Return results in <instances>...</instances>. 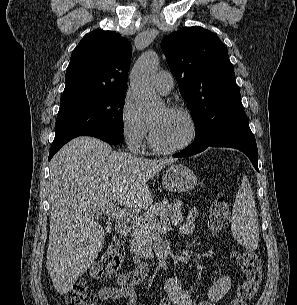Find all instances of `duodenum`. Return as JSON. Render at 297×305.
<instances>
[{"mask_svg":"<svg viewBox=\"0 0 297 305\" xmlns=\"http://www.w3.org/2000/svg\"><path fill=\"white\" fill-rule=\"evenodd\" d=\"M116 229L123 237H128L131 233L129 225L125 222H118L116 225ZM130 257L132 261L136 264H139L141 262V257L133 252H130Z\"/></svg>","mask_w":297,"mask_h":305,"instance_id":"obj_1","label":"duodenum"}]
</instances>
